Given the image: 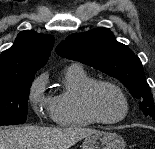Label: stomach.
Masks as SVG:
<instances>
[{
  "instance_id": "obj_1",
  "label": "stomach",
  "mask_w": 155,
  "mask_h": 149,
  "mask_svg": "<svg viewBox=\"0 0 155 149\" xmlns=\"http://www.w3.org/2000/svg\"><path fill=\"white\" fill-rule=\"evenodd\" d=\"M125 142L113 132L97 131L85 137L82 149H125Z\"/></svg>"
}]
</instances>
